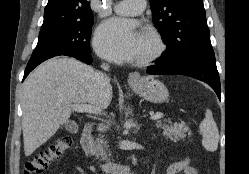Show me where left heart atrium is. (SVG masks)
Wrapping results in <instances>:
<instances>
[{
  "mask_svg": "<svg viewBox=\"0 0 249 174\" xmlns=\"http://www.w3.org/2000/svg\"><path fill=\"white\" fill-rule=\"evenodd\" d=\"M139 32L133 21L113 18L96 31L94 45L98 53L115 62L132 61L137 55Z\"/></svg>",
  "mask_w": 249,
  "mask_h": 174,
  "instance_id": "39dd6f15",
  "label": "left heart atrium"
}]
</instances>
